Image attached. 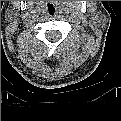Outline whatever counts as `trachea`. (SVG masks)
Returning a JSON list of instances; mask_svg holds the SVG:
<instances>
[{
	"label": "trachea",
	"mask_w": 121,
	"mask_h": 121,
	"mask_svg": "<svg viewBox=\"0 0 121 121\" xmlns=\"http://www.w3.org/2000/svg\"><path fill=\"white\" fill-rule=\"evenodd\" d=\"M47 12L50 16H55L57 14V8L53 4H49Z\"/></svg>",
	"instance_id": "3493384b"
}]
</instances>
